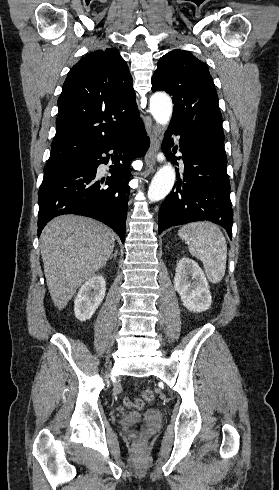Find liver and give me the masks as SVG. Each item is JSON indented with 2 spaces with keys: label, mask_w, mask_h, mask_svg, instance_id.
<instances>
[{
  "label": "liver",
  "mask_w": 279,
  "mask_h": 490,
  "mask_svg": "<svg viewBox=\"0 0 279 490\" xmlns=\"http://www.w3.org/2000/svg\"><path fill=\"white\" fill-rule=\"evenodd\" d=\"M114 232L92 218L58 216L40 238L44 274L57 310H63L76 290L107 264L115 246Z\"/></svg>",
  "instance_id": "obj_1"
}]
</instances>
